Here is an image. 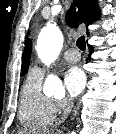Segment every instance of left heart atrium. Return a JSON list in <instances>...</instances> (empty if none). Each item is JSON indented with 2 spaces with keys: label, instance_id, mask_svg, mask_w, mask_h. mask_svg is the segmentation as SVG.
I'll list each match as a JSON object with an SVG mask.
<instances>
[{
  "label": "left heart atrium",
  "instance_id": "1",
  "mask_svg": "<svg viewBox=\"0 0 116 134\" xmlns=\"http://www.w3.org/2000/svg\"><path fill=\"white\" fill-rule=\"evenodd\" d=\"M64 85L70 97L78 96L86 85V76L83 70L77 66L69 68L65 72Z\"/></svg>",
  "mask_w": 116,
  "mask_h": 134
}]
</instances>
